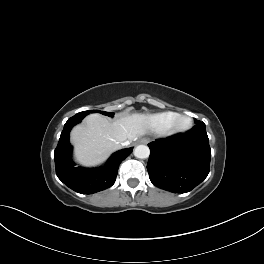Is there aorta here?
Wrapping results in <instances>:
<instances>
[{
	"label": "aorta",
	"mask_w": 264,
	"mask_h": 264,
	"mask_svg": "<svg viewBox=\"0 0 264 264\" xmlns=\"http://www.w3.org/2000/svg\"><path fill=\"white\" fill-rule=\"evenodd\" d=\"M150 155V149L146 145H138L134 149V156L139 159H146Z\"/></svg>",
	"instance_id": "1"
}]
</instances>
